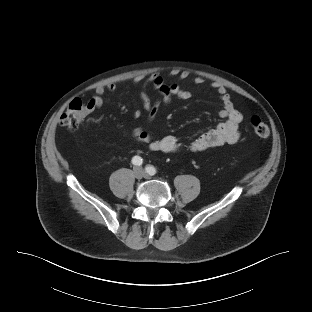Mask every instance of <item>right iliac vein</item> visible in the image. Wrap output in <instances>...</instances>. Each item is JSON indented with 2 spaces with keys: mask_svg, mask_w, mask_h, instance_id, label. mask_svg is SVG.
<instances>
[{
  "mask_svg": "<svg viewBox=\"0 0 312 312\" xmlns=\"http://www.w3.org/2000/svg\"><path fill=\"white\" fill-rule=\"evenodd\" d=\"M143 170L141 169V168H136L135 170H134V175H135V177H137V178H142V176H143Z\"/></svg>",
  "mask_w": 312,
  "mask_h": 312,
  "instance_id": "right-iliac-vein-1",
  "label": "right iliac vein"
}]
</instances>
